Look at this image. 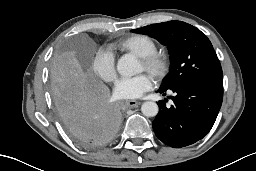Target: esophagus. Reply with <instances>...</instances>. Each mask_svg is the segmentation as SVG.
<instances>
[{
    "mask_svg": "<svg viewBox=\"0 0 256 171\" xmlns=\"http://www.w3.org/2000/svg\"><path fill=\"white\" fill-rule=\"evenodd\" d=\"M126 105L129 107V108H135L137 106L140 105V102L139 101H136V100H128L126 101Z\"/></svg>",
    "mask_w": 256,
    "mask_h": 171,
    "instance_id": "obj_1",
    "label": "esophagus"
}]
</instances>
